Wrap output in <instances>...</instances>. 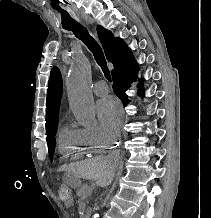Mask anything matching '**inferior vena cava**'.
<instances>
[{"instance_id":"602c4592","label":"inferior vena cava","mask_w":211,"mask_h":218,"mask_svg":"<svg viewBox=\"0 0 211 218\" xmlns=\"http://www.w3.org/2000/svg\"><path fill=\"white\" fill-rule=\"evenodd\" d=\"M118 154H110L109 158H112V160H115V158H117ZM109 184H111V182H107L106 186H109Z\"/></svg>"}]
</instances>
